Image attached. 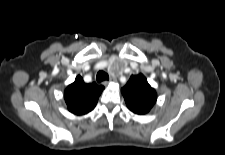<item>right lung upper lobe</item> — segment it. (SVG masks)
<instances>
[{
    "mask_svg": "<svg viewBox=\"0 0 225 155\" xmlns=\"http://www.w3.org/2000/svg\"><path fill=\"white\" fill-rule=\"evenodd\" d=\"M104 87L96 83L86 84L81 76L65 89L64 100L68 110L75 115H84L92 111Z\"/></svg>",
    "mask_w": 225,
    "mask_h": 155,
    "instance_id": "cb5924a9",
    "label": "right lung upper lobe"
}]
</instances>
